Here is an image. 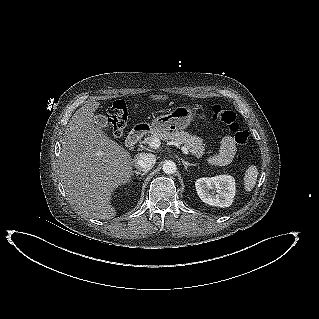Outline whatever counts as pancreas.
Here are the masks:
<instances>
[{"label":"pancreas","instance_id":"cf45deb5","mask_svg":"<svg viewBox=\"0 0 319 319\" xmlns=\"http://www.w3.org/2000/svg\"><path fill=\"white\" fill-rule=\"evenodd\" d=\"M159 139L164 141H172L174 144L184 145L193 155L197 158L204 155L205 146L202 138L195 135H191L188 132H157L154 131L150 137H146L143 143L149 144L152 139Z\"/></svg>","mask_w":319,"mask_h":319}]
</instances>
